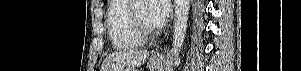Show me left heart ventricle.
<instances>
[{
	"label": "left heart ventricle",
	"instance_id": "obj_1",
	"mask_svg": "<svg viewBox=\"0 0 301 71\" xmlns=\"http://www.w3.org/2000/svg\"><path fill=\"white\" fill-rule=\"evenodd\" d=\"M137 14L140 20L149 28H156L150 14V6L146 1L137 4Z\"/></svg>",
	"mask_w": 301,
	"mask_h": 71
}]
</instances>
